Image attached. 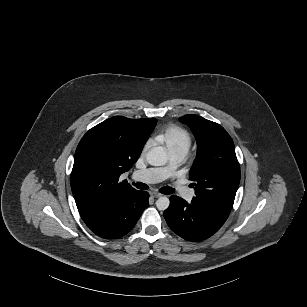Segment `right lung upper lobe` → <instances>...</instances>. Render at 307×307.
<instances>
[{
	"instance_id": "obj_1",
	"label": "right lung upper lobe",
	"mask_w": 307,
	"mask_h": 307,
	"mask_svg": "<svg viewBox=\"0 0 307 307\" xmlns=\"http://www.w3.org/2000/svg\"><path fill=\"white\" fill-rule=\"evenodd\" d=\"M156 125L155 118L115 116L90 129L75 152L71 189L80 215L134 191L122 173L138 160Z\"/></svg>"
}]
</instances>
